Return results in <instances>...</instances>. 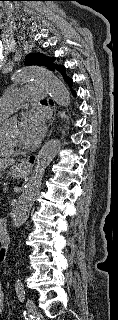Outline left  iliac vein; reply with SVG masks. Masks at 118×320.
Instances as JSON below:
<instances>
[{"label": "left iliac vein", "instance_id": "left-iliac-vein-1", "mask_svg": "<svg viewBox=\"0 0 118 320\" xmlns=\"http://www.w3.org/2000/svg\"><path fill=\"white\" fill-rule=\"evenodd\" d=\"M26 308L29 314H34L36 312V304L31 298L27 299Z\"/></svg>", "mask_w": 118, "mask_h": 320}]
</instances>
